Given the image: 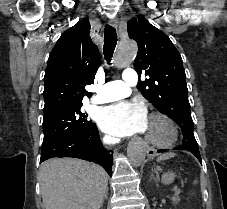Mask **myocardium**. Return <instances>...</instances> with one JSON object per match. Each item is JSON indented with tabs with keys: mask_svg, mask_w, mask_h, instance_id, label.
I'll return each mask as SVG.
<instances>
[{
	"mask_svg": "<svg viewBox=\"0 0 227 209\" xmlns=\"http://www.w3.org/2000/svg\"><path fill=\"white\" fill-rule=\"evenodd\" d=\"M150 120H159L166 124L169 129V137L166 140L158 141L153 139L144 138L145 144L152 147H172L174 146L179 139V130L175 122L166 114L161 112H154L150 115Z\"/></svg>",
	"mask_w": 227,
	"mask_h": 209,
	"instance_id": "1",
	"label": "myocardium"
}]
</instances>
